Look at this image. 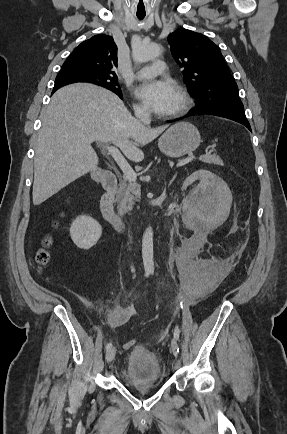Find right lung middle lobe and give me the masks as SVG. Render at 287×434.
<instances>
[{
	"label": "right lung middle lobe",
	"instance_id": "dd1d6c3e",
	"mask_svg": "<svg viewBox=\"0 0 287 434\" xmlns=\"http://www.w3.org/2000/svg\"><path fill=\"white\" fill-rule=\"evenodd\" d=\"M77 82L96 84L113 91L119 97L122 96V92L117 81V76L95 73L78 68L61 69L55 79V86H64Z\"/></svg>",
	"mask_w": 287,
	"mask_h": 434
}]
</instances>
